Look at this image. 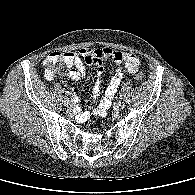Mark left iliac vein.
I'll return each instance as SVG.
<instances>
[{"label":"left iliac vein","mask_w":195,"mask_h":195,"mask_svg":"<svg viewBox=\"0 0 195 195\" xmlns=\"http://www.w3.org/2000/svg\"><path fill=\"white\" fill-rule=\"evenodd\" d=\"M124 106H125L124 102L118 101V102L115 103L114 108H115V110L119 111V110L123 109Z\"/></svg>","instance_id":"1"}]
</instances>
